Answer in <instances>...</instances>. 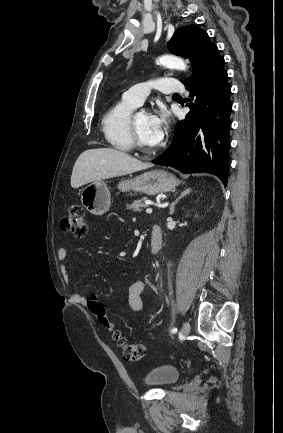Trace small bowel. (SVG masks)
I'll return each mask as SVG.
<instances>
[{"mask_svg":"<svg viewBox=\"0 0 283 433\" xmlns=\"http://www.w3.org/2000/svg\"><path fill=\"white\" fill-rule=\"evenodd\" d=\"M68 251L65 247H60L57 250V258L60 262V271L64 279L69 281V269H68ZM146 288V282L138 280L132 283L128 289V304L134 312H140L143 309L142 294ZM72 300L80 305H87L88 299L86 296L79 292H74L71 296Z\"/></svg>","mask_w":283,"mask_h":433,"instance_id":"obj_1","label":"small bowel"}]
</instances>
